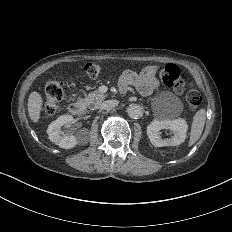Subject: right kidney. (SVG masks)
I'll list each match as a JSON object with an SVG mask.
<instances>
[{"label":"right kidney","mask_w":232,"mask_h":232,"mask_svg":"<svg viewBox=\"0 0 232 232\" xmlns=\"http://www.w3.org/2000/svg\"><path fill=\"white\" fill-rule=\"evenodd\" d=\"M73 122V117L71 115H62L53 121L47 129V134L50 141L58 145L60 148L71 149L77 144L86 145L89 141L87 136H78L72 134H65L62 130V126H69Z\"/></svg>","instance_id":"obj_1"}]
</instances>
